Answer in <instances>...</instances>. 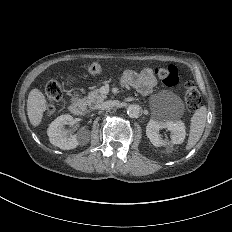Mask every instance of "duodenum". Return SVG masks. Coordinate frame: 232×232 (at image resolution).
<instances>
[{"label":"duodenum","mask_w":232,"mask_h":232,"mask_svg":"<svg viewBox=\"0 0 232 232\" xmlns=\"http://www.w3.org/2000/svg\"><path fill=\"white\" fill-rule=\"evenodd\" d=\"M69 110L73 115L79 116L84 112V105L78 95L73 96L69 106Z\"/></svg>","instance_id":"410a0bca"}]
</instances>
